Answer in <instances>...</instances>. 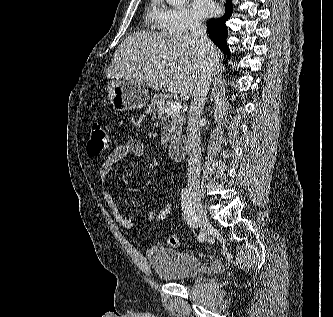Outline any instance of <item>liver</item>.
<instances>
[{
    "label": "liver",
    "mask_w": 333,
    "mask_h": 317,
    "mask_svg": "<svg viewBox=\"0 0 333 317\" xmlns=\"http://www.w3.org/2000/svg\"><path fill=\"white\" fill-rule=\"evenodd\" d=\"M215 65L220 52L210 42ZM207 54L189 34L136 31L116 49L107 70L112 79L133 78L153 89H166L187 101L198 76L204 70Z\"/></svg>",
    "instance_id": "1"
}]
</instances>
